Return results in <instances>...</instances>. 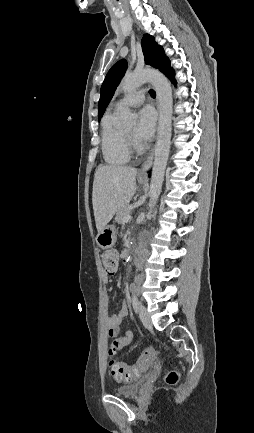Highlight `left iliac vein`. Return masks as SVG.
I'll return each mask as SVG.
<instances>
[{"instance_id": "left-iliac-vein-1", "label": "left iliac vein", "mask_w": 254, "mask_h": 433, "mask_svg": "<svg viewBox=\"0 0 254 433\" xmlns=\"http://www.w3.org/2000/svg\"><path fill=\"white\" fill-rule=\"evenodd\" d=\"M139 315H140V320H141L142 324L146 328H151L152 323H151L150 316H149L146 308L143 305H140V307H139Z\"/></svg>"}]
</instances>
